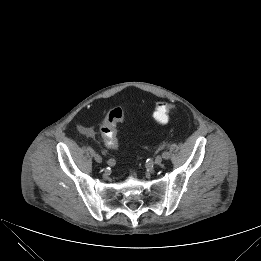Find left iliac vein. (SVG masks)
Returning <instances> with one entry per match:
<instances>
[{
    "mask_svg": "<svg viewBox=\"0 0 261 261\" xmlns=\"http://www.w3.org/2000/svg\"><path fill=\"white\" fill-rule=\"evenodd\" d=\"M163 157L161 155H158L155 160H154V164L156 165H160L162 163Z\"/></svg>",
    "mask_w": 261,
    "mask_h": 261,
    "instance_id": "1",
    "label": "left iliac vein"
}]
</instances>
